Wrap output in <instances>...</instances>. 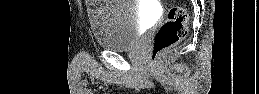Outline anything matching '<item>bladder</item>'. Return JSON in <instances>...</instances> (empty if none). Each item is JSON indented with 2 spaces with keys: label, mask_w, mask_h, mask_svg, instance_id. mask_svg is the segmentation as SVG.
<instances>
[{
  "label": "bladder",
  "mask_w": 259,
  "mask_h": 94,
  "mask_svg": "<svg viewBox=\"0 0 259 94\" xmlns=\"http://www.w3.org/2000/svg\"><path fill=\"white\" fill-rule=\"evenodd\" d=\"M88 20L97 44L106 50L124 51L138 41L142 17L135 1H89Z\"/></svg>",
  "instance_id": "31cf9c89"
}]
</instances>
